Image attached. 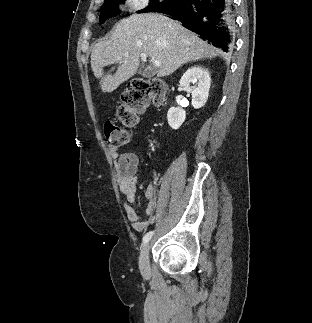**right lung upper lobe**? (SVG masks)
I'll return each instance as SVG.
<instances>
[{"mask_svg":"<svg viewBox=\"0 0 312 323\" xmlns=\"http://www.w3.org/2000/svg\"><path fill=\"white\" fill-rule=\"evenodd\" d=\"M111 1H113V0H104V4H106V3H109V2H111ZM235 4V3H234ZM161 11V10H160ZM159 11V12H160Z\"/></svg>","mask_w":312,"mask_h":323,"instance_id":"1","label":"right lung upper lobe"}]
</instances>
